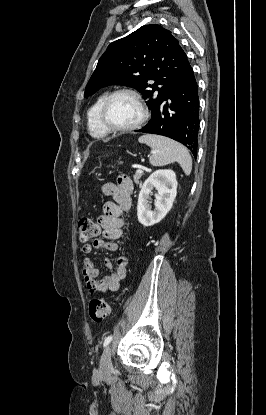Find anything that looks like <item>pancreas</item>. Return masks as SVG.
Masks as SVG:
<instances>
[{"label":"pancreas","instance_id":"pancreas-1","mask_svg":"<svg viewBox=\"0 0 266 415\" xmlns=\"http://www.w3.org/2000/svg\"><path fill=\"white\" fill-rule=\"evenodd\" d=\"M142 175H143V173H135V174L133 175V179H134V182H135L136 184H138V183H139V180H140V178L142 177Z\"/></svg>","mask_w":266,"mask_h":415}]
</instances>
